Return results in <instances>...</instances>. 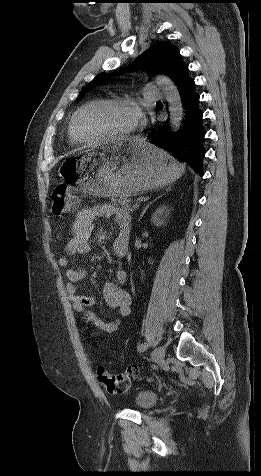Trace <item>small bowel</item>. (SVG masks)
<instances>
[{"label":"small bowel","instance_id":"c3829d8e","mask_svg":"<svg viewBox=\"0 0 261 476\" xmlns=\"http://www.w3.org/2000/svg\"><path fill=\"white\" fill-rule=\"evenodd\" d=\"M102 217L114 219L118 233L113 244L114 253L117 257L126 255L129 247L130 216L127 212L119 210L111 205H97L80 210L73 222L71 237L65 246L66 256L59 259V265L66 269V291L73 309L83 315L84 321L99 328L102 332L112 334L121 326L123 318L129 315L131 296L122 287L128 280V273L125 269H118L115 273L116 282H109L104 285L103 297L107 305L117 312V316L105 321L100 319L89 308L94 304L92 296L79 294L78 283L87 274L86 268H68L70 257L85 255L90 252V241L95 232V220Z\"/></svg>","mask_w":261,"mask_h":476}]
</instances>
